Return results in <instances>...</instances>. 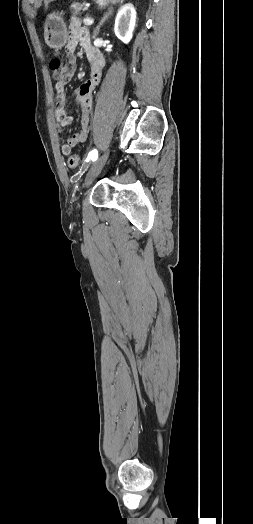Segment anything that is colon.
Here are the masks:
<instances>
[{
	"label": "colon",
	"instance_id": "5ec220e1",
	"mask_svg": "<svg viewBox=\"0 0 253 524\" xmlns=\"http://www.w3.org/2000/svg\"><path fill=\"white\" fill-rule=\"evenodd\" d=\"M67 63V61L58 58L50 60L49 67L54 80H60L62 74L66 72ZM67 163L70 168H77L80 164V158L76 154H69Z\"/></svg>",
	"mask_w": 253,
	"mask_h": 524
}]
</instances>
